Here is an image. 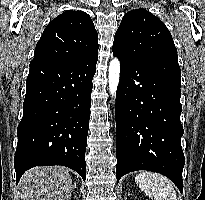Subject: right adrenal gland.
Returning a JSON list of instances; mask_svg holds the SVG:
<instances>
[{
  "instance_id": "2a0ac1e0",
  "label": "right adrenal gland",
  "mask_w": 205,
  "mask_h": 200,
  "mask_svg": "<svg viewBox=\"0 0 205 200\" xmlns=\"http://www.w3.org/2000/svg\"><path fill=\"white\" fill-rule=\"evenodd\" d=\"M73 188H76V183H74Z\"/></svg>"
}]
</instances>
